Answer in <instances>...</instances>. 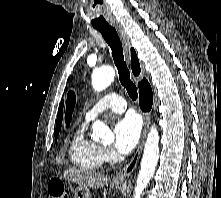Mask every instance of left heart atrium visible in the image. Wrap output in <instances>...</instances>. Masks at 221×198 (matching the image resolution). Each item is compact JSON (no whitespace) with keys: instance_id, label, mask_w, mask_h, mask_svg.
<instances>
[{"instance_id":"left-heart-atrium-1","label":"left heart atrium","mask_w":221,"mask_h":198,"mask_svg":"<svg viewBox=\"0 0 221 198\" xmlns=\"http://www.w3.org/2000/svg\"><path fill=\"white\" fill-rule=\"evenodd\" d=\"M115 148L121 154L131 152L137 145L141 123L137 116L130 114L118 120L114 126Z\"/></svg>"}]
</instances>
